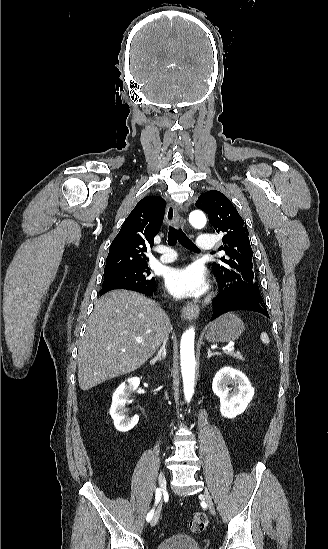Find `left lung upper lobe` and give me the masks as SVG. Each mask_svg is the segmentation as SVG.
Wrapping results in <instances>:
<instances>
[{
	"instance_id": "obj_1",
	"label": "left lung upper lobe",
	"mask_w": 328,
	"mask_h": 549,
	"mask_svg": "<svg viewBox=\"0 0 328 549\" xmlns=\"http://www.w3.org/2000/svg\"><path fill=\"white\" fill-rule=\"evenodd\" d=\"M195 205L208 214L211 225L223 236L220 248L226 256L220 258V263L212 265L223 290L253 295L263 301L254 275L247 226L236 208L216 190L201 194Z\"/></svg>"
}]
</instances>
